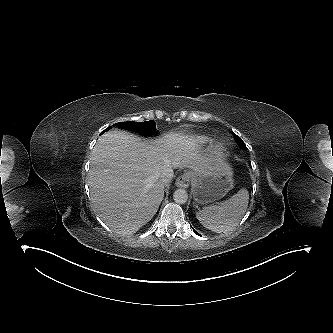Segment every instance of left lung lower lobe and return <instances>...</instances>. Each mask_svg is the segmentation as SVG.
Instances as JSON below:
<instances>
[{
    "mask_svg": "<svg viewBox=\"0 0 333 333\" xmlns=\"http://www.w3.org/2000/svg\"><path fill=\"white\" fill-rule=\"evenodd\" d=\"M193 231L197 234V235H199L200 236V234L199 233H197L194 229H193Z\"/></svg>",
    "mask_w": 333,
    "mask_h": 333,
    "instance_id": "1",
    "label": "left lung lower lobe"
}]
</instances>
